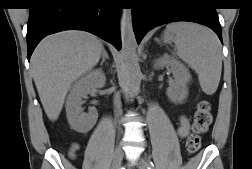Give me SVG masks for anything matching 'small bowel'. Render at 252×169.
I'll return each mask as SVG.
<instances>
[{"label": "small bowel", "mask_w": 252, "mask_h": 169, "mask_svg": "<svg viewBox=\"0 0 252 169\" xmlns=\"http://www.w3.org/2000/svg\"><path fill=\"white\" fill-rule=\"evenodd\" d=\"M178 133L181 137H185L189 133V123L184 116L180 118V125L178 129ZM78 149H79V145L74 143L70 147V153L74 154Z\"/></svg>", "instance_id": "c3829d8e"}]
</instances>
